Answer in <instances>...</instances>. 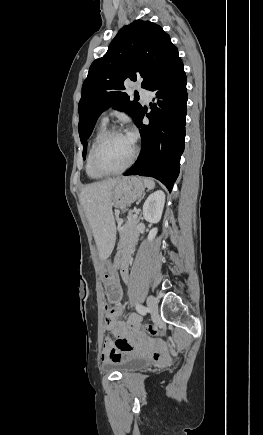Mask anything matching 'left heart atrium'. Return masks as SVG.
I'll return each instance as SVG.
<instances>
[{"label": "left heart atrium", "mask_w": 263, "mask_h": 435, "mask_svg": "<svg viewBox=\"0 0 263 435\" xmlns=\"http://www.w3.org/2000/svg\"><path fill=\"white\" fill-rule=\"evenodd\" d=\"M126 136H127L128 139L131 141L132 144L135 143V141H136V132H135V130H133V129L130 130V131L127 133Z\"/></svg>", "instance_id": "39dd6f15"}]
</instances>
